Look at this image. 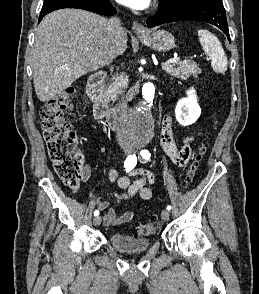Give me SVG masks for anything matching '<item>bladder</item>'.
Segmentation results:
<instances>
[{"mask_svg":"<svg viewBox=\"0 0 259 294\" xmlns=\"http://www.w3.org/2000/svg\"><path fill=\"white\" fill-rule=\"evenodd\" d=\"M109 243L117 250L124 253L143 252L149 249L151 242L148 239L131 237L123 233H113Z\"/></svg>","mask_w":259,"mask_h":294,"instance_id":"bladder-1","label":"bladder"}]
</instances>
